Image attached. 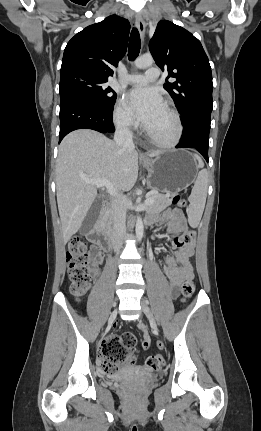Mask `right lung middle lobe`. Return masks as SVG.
Wrapping results in <instances>:
<instances>
[{
    "mask_svg": "<svg viewBox=\"0 0 261 431\" xmlns=\"http://www.w3.org/2000/svg\"><path fill=\"white\" fill-rule=\"evenodd\" d=\"M106 79L85 72H71L60 76V95L71 94L86 98L101 108L111 107L117 95L105 87Z\"/></svg>",
    "mask_w": 261,
    "mask_h": 431,
    "instance_id": "right-lung-middle-lobe-1",
    "label": "right lung middle lobe"
}]
</instances>
